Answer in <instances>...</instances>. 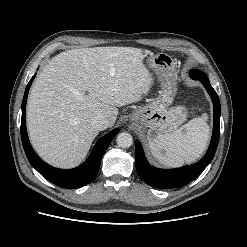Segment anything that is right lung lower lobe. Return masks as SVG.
Listing matches in <instances>:
<instances>
[{
	"label": "right lung lower lobe",
	"instance_id": "98d812e1",
	"mask_svg": "<svg viewBox=\"0 0 247 247\" xmlns=\"http://www.w3.org/2000/svg\"><path fill=\"white\" fill-rule=\"evenodd\" d=\"M36 74L29 81L23 101H22V118H21V138L22 144L26 153V156L30 164L48 181L51 183L68 188L74 189L85 186L90 183L97 175L101 159L106 149L108 148L110 142L118 134L119 129H114L110 133L106 134L98 140L92 153L90 154L87 161L81 166L64 170L57 169L42 161L34 152L28 139L27 129H26V102L30 86L35 78Z\"/></svg>",
	"mask_w": 247,
	"mask_h": 247
}]
</instances>
